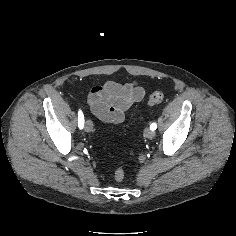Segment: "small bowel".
I'll list each match as a JSON object with an SVG mask.
<instances>
[{
	"instance_id": "1",
	"label": "small bowel",
	"mask_w": 236,
	"mask_h": 236,
	"mask_svg": "<svg viewBox=\"0 0 236 236\" xmlns=\"http://www.w3.org/2000/svg\"><path fill=\"white\" fill-rule=\"evenodd\" d=\"M145 91L137 82L119 84L108 81L95 86L88 95L91 111L100 120L119 124L123 122L125 112L143 99Z\"/></svg>"
}]
</instances>
